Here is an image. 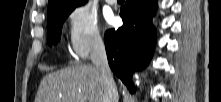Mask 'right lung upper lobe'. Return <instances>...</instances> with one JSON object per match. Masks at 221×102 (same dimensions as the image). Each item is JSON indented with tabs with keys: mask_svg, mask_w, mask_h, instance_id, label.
Instances as JSON below:
<instances>
[{
	"mask_svg": "<svg viewBox=\"0 0 221 102\" xmlns=\"http://www.w3.org/2000/svg\"><path fill=\"white\" fill-rule=\"evenodd\" d=\"M86 1L82 0H49L48 5V19L53 17L61 10L77 7L84 4Z\"/></svg>",
	"mask_w": 221,
	"mask_h": 102,
	"instance_id": "1",
	"label": "right lung upper lobe"
}]
</instances>
